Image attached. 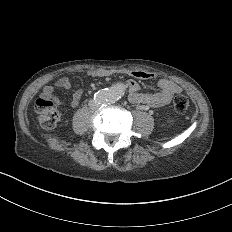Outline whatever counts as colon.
<instances>
[{
	"mask_svg": "<svg viewBox=\"0 0 232 232\" xmlns=\"http://www.w3.org/2000/svg\"><path fill=\"white\" fill-rule=\"evenodd\" d=\"M55 96H39L36 101V109L42 120L38 121L41 129H58L59 117L61 112H57V108H53ZM173 106L177 114H185L191 111V102H189L188 94H175Z\"/></svg>",
	"mask_w": 232,
	"mask_h": 232,
	"instance_id": "colon-1",
	"label": "colon"
}]
</instances>
